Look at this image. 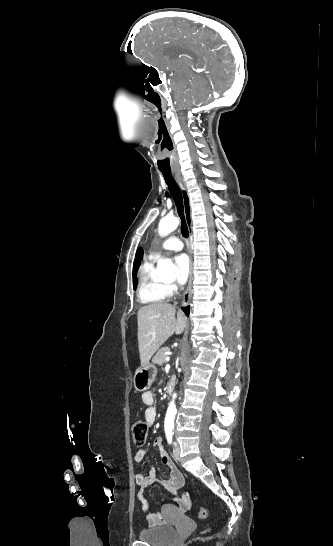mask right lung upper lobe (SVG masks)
I'll return each instance as SVG.
<instances>
[{
  "mask_svg": "<svg viewBox=\"0 0 333 546\" xmlns=\"http://www.w3.org/2000/svg\"><path fill=\"white\" fill-rule=\"evenodd\" d=\"M142 257H143V250L140 248L138 249L137 253H136V257H135V260H134V263H137L138 266H139V263L141 262L142 260ZM135 281L133 280V283Z\"/></svg>",
  "mask_w": 333,
  "mask_h": 546,
  "instance_id": "1",
  "label": "right lung upper lobe"
}]
</instances>
